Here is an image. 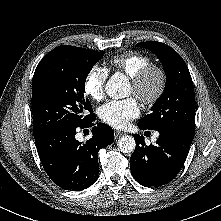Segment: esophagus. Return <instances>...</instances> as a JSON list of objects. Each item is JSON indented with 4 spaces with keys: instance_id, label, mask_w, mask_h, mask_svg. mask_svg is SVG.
Segmentation results:
<instances>
[{
    "instance_id": "esophagus-1",
    "label": "esophagus",
    "mask_w": 221,
    "mask_h": 221,
    "mask_svg": "<svg viewBox=\"0 0 221 221\" xmlns=\"http://www.w3.org/2000/svg\"><path fill=\"white\" fill-rule=\"evenodd\" d=\"M114 135H115V137H120V136L123 135V132L118 131V130H115V131H114Z\"/></svg>"
}]
</instances>
